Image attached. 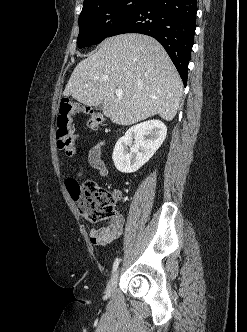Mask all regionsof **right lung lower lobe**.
I'll return each instance as SVG.
<instances>
[{
	"mask_svg": "<svg viewBox=\"0 0 247 332\" xmlns=\"http://www.w3.org/2000/svg\"><path fill=\"white\" fill-rule=\"evenodd\" d=\"M196 14L197 0H147L122 18L108 37L123 33L152 36L165 48L186 86Z\"/></svg>",
	"mask_w": 247,
	"mask_h": 332,
	"instance_id": "obj_1",
	"label": "right lung lower lobe"
}]
</instances>
